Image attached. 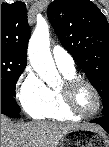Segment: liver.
Instances as JSON below:
<instances>
[{
    "label": "liver",
    "instance_id": "1",
    "mask_svg": "<svg viewBox=\"0 0 109 147\" xmlns=\"http://www.w3.org/2000/svg\"><path fill=\"white\" fill-rule=\"evenodd\" d=\"M83 128L104 132L96 124L46 121L13 124L9 118L1 116V147H58L69 131Z\"/></svg>",
    "mask_w": 109,
    "mask_h": 147
}]
</instances>
